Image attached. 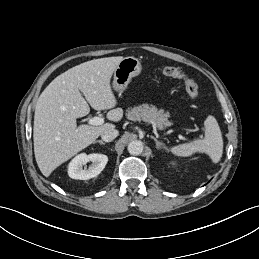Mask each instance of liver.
<instances>
[{
    "mask_svg": "<svg viewBox=\"0 0 259 259\" xmlns=\"http://www.w3.org/2000/svg\"><path fill=\"white\" fill-rule=\"evenodd\" d=\"M122 59L107 57L81 63L57 76L41 93L35 108L33 140L35 159L45 177L104 131L115 128L111 123L77 127L76 119L90 112L89 104L95 110L112 109L107 119L121 120L123 110L113 109L117 100L110 80Z\"/></svg>",
    "mask_w": 259,
    "mask_h": 259,
    "instance_id": "6515ba94",
    "label": "liver"
}]
</instances>
